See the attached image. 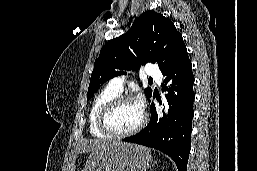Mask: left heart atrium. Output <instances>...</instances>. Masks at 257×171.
Instances as JSON below:
<instances>
[{
	"label": "left heart atrium",
	"instance_id": "left-heart-atrium-1",
	"mask_svg": "<svg viewBox=\"0 0 257 171\" xmlns=\"http://www.w3.org/2000/svg\"><path fill=\"white\" fill-rule=\"evenodd\" d=\"M136 106L138 107V109L143 112L144 110V102L141 98L137 99V101L135 102Z\"/></svg>",
	"mask_w": 257,
	"mask_h": 171
}]
</instances>
